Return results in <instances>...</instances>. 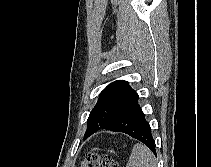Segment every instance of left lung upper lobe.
Instances as JSON below:
<instances>
[{
	"instance_id": "5c2ea615",
	"label": "left lung upper lobe",
	"mask_w": 211,
	"mask_h": 167,
	"mask_svg": "<svg viewBox=\"0 0 211 167\" xmlns=\"http://www.w3.org/2000/svg\"><path fill=\"white\" fill-rule=\"evenodd\" d=\"M138 97L128 82L117 80L110 83L101 93L87 120L85 134L113 120L128 104Z\"/></svg>"
}]
</instances>
